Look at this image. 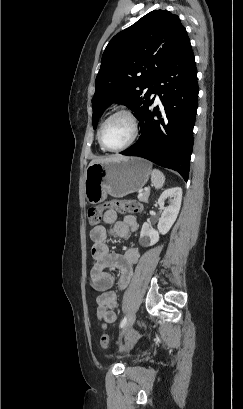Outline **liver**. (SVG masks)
I'll use <instances>...</instances> for the list:
<instances>
[{
	"label": "liver",
	"instance_id": "1",
	"mask_svg": "<svg viewBox=\"0 0 243 409\" xmlns=\"http://www.w3.org/2000/svg\"><path fill=\"white\" fill-rule=\"evenodd\" d=\"M107 160H109V159H96L93 162H102V161H107Z\"/></svg>",
	"mask_w": 243,
	"mask_h": 409
}]
</instances>
